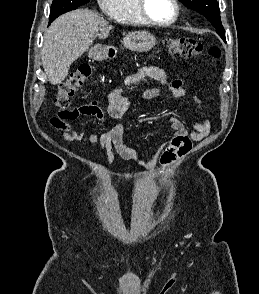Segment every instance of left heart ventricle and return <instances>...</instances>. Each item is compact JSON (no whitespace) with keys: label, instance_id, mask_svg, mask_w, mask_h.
I'll return each instance as SVG.
<instances>
[{"label":"left heart ventricle","instance_id":"b2bd125f","mask_svg":"<svg viewBox=\"0 0 259 294\" xmlns=\"http://www.w3.org/2000/svg\"><path fill=\"white\" fill-rule=\"evenodd\" d=\"M147 12L158 22H167L174 16V5L171 0H147Z\"/></svg>","mask_w":259,"mask_h":294}]
</instances>
